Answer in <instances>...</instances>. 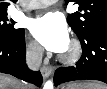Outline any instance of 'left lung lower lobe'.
I'll return each instance as SVG.
<instances>
[{
  "instance_id": "1",
  "label": "left lung lower lobe",
  "mask_w": 107,
  "mask_h": 89,
  "mask_svg": "<svg viewBox=\"0 0 107 89\" xmlns=\"http://www.w3.org/2000/svg\"><path fill=\"white\" fill-rule=\"evenodd\" d=\"M83 54L75 67H60L55 85L74 80H99L107 83V27H97L79 38Z\"/></svg>"
}]
</instances>
